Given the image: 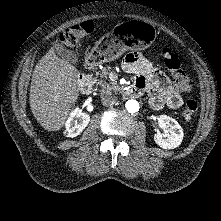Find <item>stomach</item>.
I'll return each instance as SVG.
<instances>
[{
  "mask_svg": "<svg viewBox=\"0 0 221 221\" xmlns=\"http://www.w3.org/2000/svg\"><path fill=\"white\" fill-rule=\"evenodd\" d=\"M155 40L154 28L143 21H123L111 27L88 53L91 65H100L119 58L127 49L144 50Z\"/></svg>",
  "mask_w": 221,
  "mask_h": 221,
  "instance_id": "0dacf381",
  "label": "stomach"
}]
</instances>
